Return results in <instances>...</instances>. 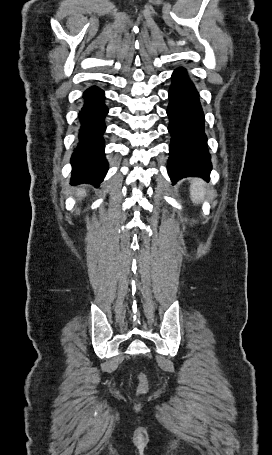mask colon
Returning <instances> with one entry per match:
<instances>
[{
    "instance_id": "colon-1",
    "label": "colon",
    "mask_w": 272,
    "mask_h": 455,
    "mask_svg": "<svg viewBox=\"0 0 272 455\" xmlns=\"http://www.w3.org/2000/svg\"><path fill=\"white\" fill-rule=\"evenodd\" d=\"M138 378H139V382H140L138 390L140 393H144L147 390V385H148L147 379H146L145 375L142 373L139 374Z\"/></svg>"
}]
</instances>
